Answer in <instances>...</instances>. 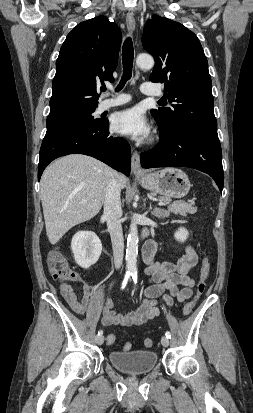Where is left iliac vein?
Masks as SVG:
<instances>
[{
    "mask_svg": "<svg viewBox=\"0 0 253 413\" xmlns=\"http://www.w3.org/2000/svg\"><path fill=\"white\" fill-rule=\"evenodd\" d=\"M161 344H162L164 347H167V346L169 345V339H168L167 337L163 336V337L161 338Z\"/></svg>",
    "mask_w": 253,
    "mask_h": 413,
    "instance_id": "obj_1",
    "label": "left iliac vein"
}]
</instances>
